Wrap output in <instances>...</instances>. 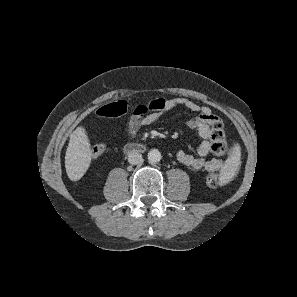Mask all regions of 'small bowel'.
Wrapping results in <instances>:
<instances>
[{
    "label": "small bowel",
    "mask_w": 297,
    "mask_h": 297,
    "mask_svg": "<svg viewBox=\"0 0 297 297\" xmlns=\"http://www.w3.org/2000/svg\"><path fill=\"white\" fill-rule=\"evenodd\" d=\"M147 109L143 114H132L127 122V133L134 137L140 127L150 125L156 122L163 114L176 107H183L196 115L187 121L188 128L196 130L202 141L197 148V154L192 155L183 150L177 152V160L194 170H205L213 173L220 171L224 166L222 159H205L210 151V142L212 135V125L217 117L206 106H200L198 103L186 97H172L168 99L155 98L149 101Z\"/></svg>",
    "instance_id": "c3829d8e"
}]
</instances>
